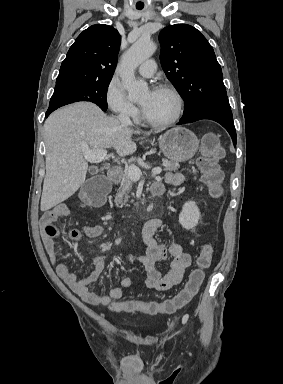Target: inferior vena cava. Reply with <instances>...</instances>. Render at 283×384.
<instances>
[{
	"instance_id": "1",
	"label": "inferior vena cava",
	"mask_w": 283,
	"mask_h": 384,
	"mask_svg": "<svg viewBox=\"0 0 283 384\" xmlns=\"http://www.w3.org/2000/svg\"><path fill=\"white\" fill-rule=\"evenodd\" d=\"M119 122H121L122 126H133L130 118H129V112L127 108H124V110H121L119 116H118Z\"/></svg>"
}]
</instances>
